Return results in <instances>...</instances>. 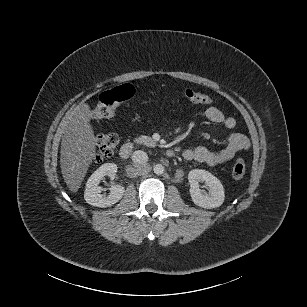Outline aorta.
<instances>
[{
    "mask_svg": "<svg viewBox=\"0 0 307 307\" xmlns=\"http://www.w3.org/2000/svg\"><path fill=\"white\" fill-rule=\"evenodd\" d=\"M154 173L157 175H161L164 173V166L162 164H156L153 167Z\"/></svg>",
    "mask_w": 307,
    "mask_h": 307,
    "instance_id": "762f6f07",
    "label": "aorta"
}]
</instances>
